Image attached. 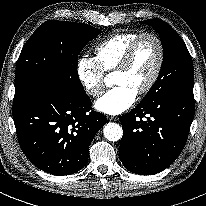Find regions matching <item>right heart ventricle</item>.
<instances>
[{
    "mask_svg": "<svg viewBox=\"0 0 206 206\" xmlns=\"http://www.w3.org/2000/svg\"><path fill=\"white\" fill-rule=\"evenodd\" d=\"M140 33L139 31L116 33L96 47V59L104 72H112L116 69L129 45Z\"/></svg>",
    "mask_w": 206,
    "mask_h": 206,
    "instance_id": "right-heart-ventricle-1",
    "label": "right heart ventricle"
}]
</instances>
